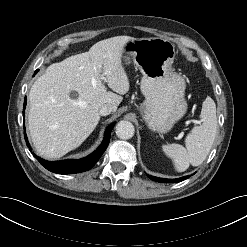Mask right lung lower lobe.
<instances>
[{
    "label": "right lung lower lobe",
    "mask_w": 247,
    "mask_h": 247,
    "mask_svg": "<svg viewBox=\"0 0 247 247\" xmlns=\"http://www.w3.org/2000/svg\"><path fill=\"white\" fill-rule=\"evenodd\" d=\"M26 106V97L24 101V108H23V116H24V110ZM115 123H112L106 130L104 135V140L102 141L101 145L89 156L78 159V160H61V161H47L40 157H38L36 154H33V156L49 171L58 173V174H74V173H80L87 171L91 169L95 163L99 160V158L102 156L104 151L106 150L109 141H110V135L111 131L114 127ZM24 137L26 140V144L28 147H30V144L28 142L26 133H25V127H24Z\"/></svg>",
    "instance_id": "1"
}]
</instances>
